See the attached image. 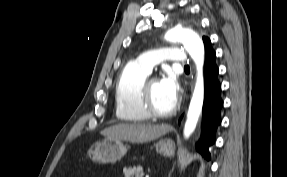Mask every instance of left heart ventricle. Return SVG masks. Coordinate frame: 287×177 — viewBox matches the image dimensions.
<instances>
[{
  "instance_id": "1",
  "label": "left heart ventricle",
  "mask_w": 287,
  "mask_h": 177,
  "mask_svg": "<svg viewBox=\"0 0 287 177\" xmlns=\"http://www.w3.org/2000/svg\"><path fill=\"white\" fill-rule=\"evenodd\" d=\"M150 90L153 104L158 111L165 112L174 106L176 100L169 96L162 87L160 81H153L151 83Z\"/></svg>"
}]
</instances>
